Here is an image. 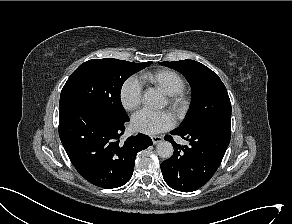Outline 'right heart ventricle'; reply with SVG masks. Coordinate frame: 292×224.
Masks as SVG:
<instances>
[{
    "label": "right heart ventricle",
    "mask_w": 292,
    "mask_h": 224,
    "mask_svg": "<svg viewBox=\"0 0 292 224\" xmlns=\"http://www.w3.org/2000/svg\"><path fill=\"white\" fill-rule=\"evenodd\" d=\"M142 79L159 88L167 95L182 93L185 89L183 78L170 69L146 73L142 76Z\"/></svg>",
    "instance_id": "right-heart-ventricle-1"
}]
</instances>
